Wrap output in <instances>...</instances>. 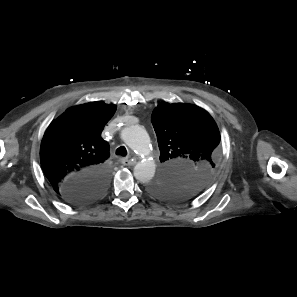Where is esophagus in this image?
Segmentation results:
<instances>
[{
    "instance_id": "esophagus-1",
    "label": "esophagus",
    "mask_w": 297,
    "mask_h": 297,
    "mask_svg": "<svg viewBox=\"0 0 297 297\" xmlns=\"http://www.w3.org/2000/svg\"><path fill=\"white\" fill-rule=\"evenodd\" d=\"M121 163L125 166L134 165L136 162L129 158H122Z\"/></svg>"
}]
</instances>
